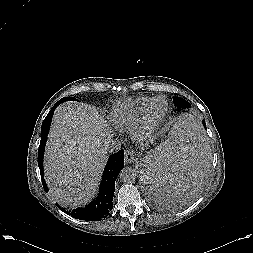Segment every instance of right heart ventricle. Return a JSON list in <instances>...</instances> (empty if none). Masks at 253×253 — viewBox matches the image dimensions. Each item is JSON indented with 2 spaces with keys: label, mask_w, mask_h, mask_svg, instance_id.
Segmentation results:
<instances>
[{
  "label": "right heart ventricle",
  "mask_w": 253,
  "mask_h": 253,
  "mask_svg": "<svg viewBox=\"0 0 253 253\" xmlns=\"http://www.w3.org/2000/svg\"><path fill=\"white\" fill-rule=\"evenodd\" d=\"M151 99L147 96H137L117 101L110 113L112 123L124 131L136 128L145 106Z\"/></svg>",
  "instance_id": "e07e8e85"
}]
</instances>
